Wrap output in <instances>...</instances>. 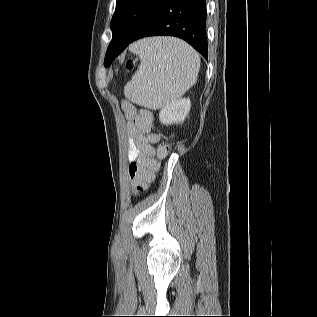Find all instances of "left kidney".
Wrapping results in <instances>:
<instances>
[{
  "instance_id": "obj_1",
  "label": "left kidney",
  "mask_w": 317,
  "mask_h": 317,
  "mask_svg": "<svg viewBox=\"0 0 317 317\" xmlns=\"http://www.w3.org/2000/svg\"><path fill=\"white\" fill-rule=\"evenodd\" d=\"M190 107L191 101L189 98L175 100L161 109L159 113L160 122L164 125L181 123L189 113Z\"/></svg>"
}]
</instances>
